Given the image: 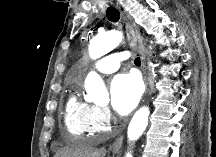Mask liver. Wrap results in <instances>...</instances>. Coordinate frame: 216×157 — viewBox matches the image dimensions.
<instances>
[{"label": "liver", "mask_w": 216, "mask_h": 157, "mask_svg": "<svg viewBox=\"0 0 216 157\" xmlns=\"http://www.w3.org/2000/svg\"><path fill=\"white\" fill-rule=\"evenodd\" d=\"M102 155L103 151L94 150L84 144H75L59 151L56 157H102Z\"/></svg>", "instance_id": "1"}]
</instances>
